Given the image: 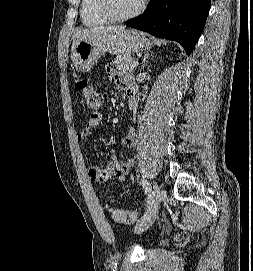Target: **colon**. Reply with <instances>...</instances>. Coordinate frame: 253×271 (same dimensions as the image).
<instances>
[{
	"label": "colon",
	"instance_id": "colon-1",
	"mask_svg": "<svg viewBox=\"0 0 253 271\" xmlns=\"http://www.w3.org/2000/svg\"><path fill=\"white\" fill-rule=\"evenodd\" d=\"M75 90L83 98L89 109L97 111L102 104V95L86 80L75 81ZM113 220L119 224H132L137 220L135 210H122L108 206Z\"/></svg>",
	"mask_w": 253,
	"mask_h": 271
}]
</instances>
